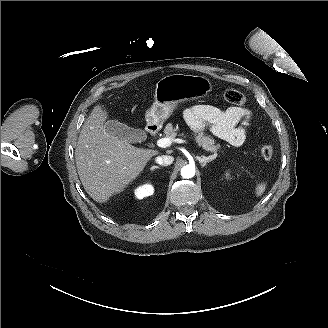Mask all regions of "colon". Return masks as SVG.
<instances>
[{
  "instance_id": "obj_1",
  "label": "colon",
  "mask_w": 328,
  "mask_h": 328,
  "mask_svg": "<svg viewBox=\"0 0 328 328\" xmlns=\"http://www.w3.org/2000/svg\"><path fill=\"white\" fill-rule=\"evenodd\" d=\"M224 100L227 103L237 105V106H243L246 103L245 96L234 89H228L223 94ZM273 146L271 144H264L260 149V155L264 160H270L273 156Z\"/></svg>"
}]
</instances>
